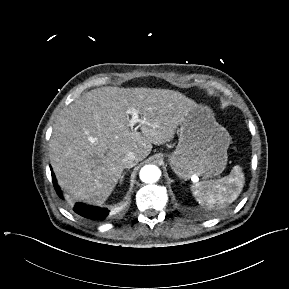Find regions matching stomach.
Instances as JSON below:
<instances>
[{"label":"stomach","instance_id":"obj_1","mask_svg":"<svg viewBox=\"0 0 289 289\" xmlns=\"http://www.w3.org/2000/svg\"><path fill=\"white\" fill-rule=\"evenodd\" d=\"M178 132V145L167 157L179 177L206 179L224 171L231 136L216 122L210 108L196 104L184 116Z\"/></svg>","mask_w":289,"mask_h":289}]
</instances>
